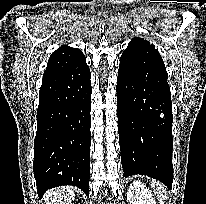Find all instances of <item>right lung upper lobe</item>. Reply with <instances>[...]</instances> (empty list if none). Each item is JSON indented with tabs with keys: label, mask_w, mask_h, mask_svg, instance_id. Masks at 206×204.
I'll list each match as a JSON object with an SVG mask.
<instances>
[{
	"label": "right lung upper lobe",
	"mask_w": 206,
	"mask_h": 204,
	"mask_svg": "<svg viewBox=\"0 0 206 204\" xmlns=\"http://www.w3.org/2000/svg\"><path fill=\"white\" fill-rule=\"evenodd\" d=\"M84 59L85 56L79 49L61 46L49 58L44 76L62 71Z\"/></svg>",
	"instance_id": "obj_1"
}]
</instances>
